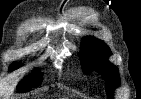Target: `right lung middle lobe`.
I'll return each instance as SVG.
<instances>
[{
    "instance_id": "1",
    "label": "right lung middle lobe",
    "mask_w": 141,
    "mask_h": 99,
    "mask_svg": "<svg viewBox=\"0 0 141 99\" xmlns=\"http://www.w3.org/2000/svg\"><path fill=\"white\" fill-rule=\"evenodd\" d=\"M21 66V63L15 62L10 66V70H15ZM42 77L39 72L33 73L29 78L25 79L19 84V89L23 92L31 90V87H37L41 84ZM20 92V91H19Z\"/></svg>"
}]
</instances>
